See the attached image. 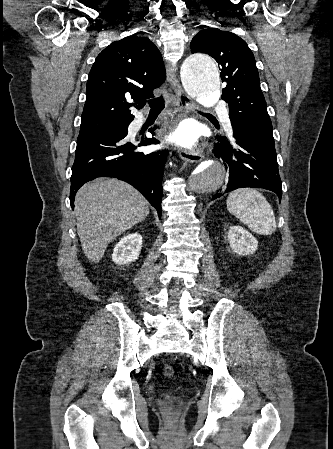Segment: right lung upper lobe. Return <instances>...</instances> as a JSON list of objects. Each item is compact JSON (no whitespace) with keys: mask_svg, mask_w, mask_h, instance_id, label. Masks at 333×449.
<instances>
[{"mask_svg":"<svg viewBox=\"0 0 333 449\" xmlns=\"http://www.w3.org/2000/svg\"><path fill=\"white\" fill-rule=\"evenodd\" d=\"M164 79L161 54L148 38L132 35L111 43L89 73L80 129L131 122L129 107L142 108Z\"/></svg>","mask_w":333,"mask_h":449,"instance_id":"right-lung-upper-lobe-1","label":"right lung upper lobe"}]
</instances>
